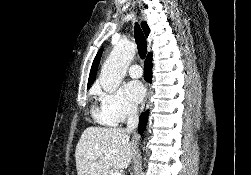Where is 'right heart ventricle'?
Returning a JSON list of instances; mask_svg holds the SVG:
<instances>
[{
	"label": "right heart ventricle",
	"instance_id": "right-heart-ventricle-1",
	"mask_svg": "<svg viewBox=\"0 0 251 175\" xmlns=\"http://www.w3.org/2000/svg\"><path fill=\"white\" fill-rule=\"evenodd\" d=\"M94 117L96 118L97 121H99L100 123L102 124H105V125H114L113 123H110L108 122L102 115V113L100 111H97V110H94Z\"/></svg>",
	"mask_w": 251,
	"mask_h": 175
}]
</instances>
